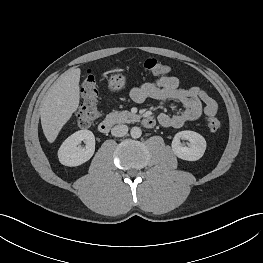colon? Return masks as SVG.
<instances>
[{"label":"colon","mask_w":263,"mask_h":263,"mask_svg":"<svg viewBox=\"0 0 263 263\" xmlns=\"http://www.w3.org/2000/svg\"><path fill=\"white\" fill-rule=\"evenodd\" d=\"M144 68L150 74L160 77L166 76L171 72L170 65L154 58L147 59L144 62ZM80 92L84 103L76 113V121L80 126L87 127L93 124L99 117V90L92 72H88L84 77L80 86ZM207 124L212 132H216L220 128V122L215 117L209 118Z\"/></svg>","instance_id":"colon-1"}]
</instances>
